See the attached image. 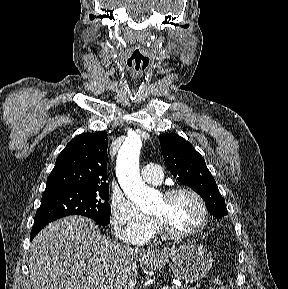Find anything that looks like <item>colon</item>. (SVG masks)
I'll list each match as a JSON object with an SVG mask.
<instances>
[{"label": "colon", "instance_id": "colon-1", "mask_svg": "<svg viewBox=\"0 0 288 289\" xmlns=\"http://www.w3.org/2000/svg\"><path fill=\"white\" fill-rule=\"evenodd\" d=\"M208 289H229L225 280L220 277H212L208 283Z\"/></svg>", "mask_w": 288, "mask_h": 289}]
</instances>
